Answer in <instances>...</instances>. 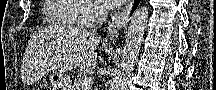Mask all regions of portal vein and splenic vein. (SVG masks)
I'll return each instance as SVG.
<instances>
[{"label":"portal vein and splenic vein","mask_w":216,"mask_h":90,"mask_svg":"<svg viewBox=\"0 0 216 90\" xmlns=\"http://www.w3.org/2000/svg\"><path fill=\"white\" fill-rule=\"evenodd\" d=\"M81 86V90H88V88L91 86V80H89V78H84L83 84H81Z\"/></svg>","instance_id":"obj_1"}]
</instances>
